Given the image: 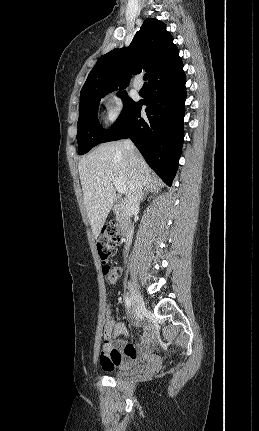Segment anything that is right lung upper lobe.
<instances>
[{
    "instance_id": "cb5924a9",
    "label": "right lung upper lobe",
    "mask_w": 259,
    "mask_h": 431,
    "mask_svg": "<svg viewBox=\"0 0 259 431\" xmlns=\"http://www.w3.org/2000/svg\"><path fill=\"white\" fill-rule=\"evenodd\" d=\"M179 50L166 25L157 19H146L128 48L114 49L101 56L82 87L80 100L89 94L111 92L128 85L131 74L142 68L149 82L173 70L180 63Z\"/></svg>"
}]
</instances>
